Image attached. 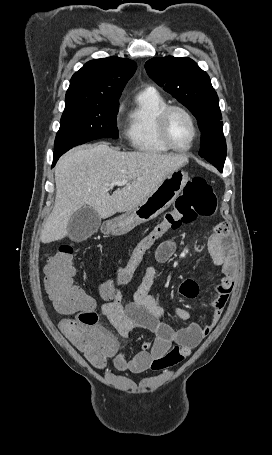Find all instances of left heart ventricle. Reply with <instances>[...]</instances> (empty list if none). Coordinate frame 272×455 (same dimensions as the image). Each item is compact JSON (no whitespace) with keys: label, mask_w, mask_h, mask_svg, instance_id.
<instances>
[{"label":"left heart ventricle","mask_w":272,"mask_h":455,"mask_svg":"<svg viewBox=\"0 0 272 455\" xmlns=\"http://www.w3.org/2000/svg\"><path fill=\"white\" fill-rule=\"evenodd\" d=\"M168 132L172 142L178 147H186L193 136L189 119L180 111H173L168 119Z\"/></svg>","instance_id":"b2bd125f"}]
</instances>
